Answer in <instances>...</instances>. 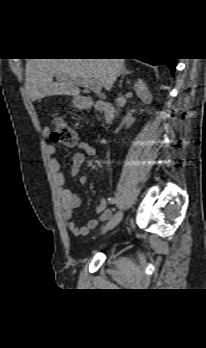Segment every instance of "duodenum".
<instances>
[{"instance_id": "duodenum-1", "label": "duodenum", "mask_w": 206, "mask_h": 348, "mask_svg": "<svg viewBox=\"0 0 206 348\" xmlns=\"http://www.w3.org/2000/svg\"><path fill=\"white\" fill-rule=\"evenodd\" d=\"M80 103L82 105H89V102L86 99H81ZM95 106L104 113L106 123L109 124L114 120L115 110L110 103L103 100H98L95 102Z\"/></svg>"}]
</instances>
